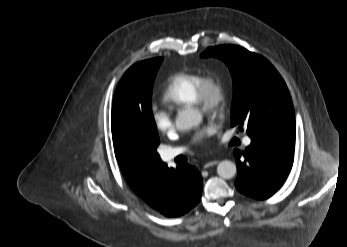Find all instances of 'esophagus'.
Returning <instances> with one entry per match:
<instances>
[{"label":"esophagus","instance_id":"34e87169","mask_svg":"<svg viewBox=\"0 0 347 247\" xmlns=\"http://www.w3.org/2000/svg\"><path fill=\"white\" fill-rule=\"evenodd\" d=\"M218 162H219L218 160H209L204 164V169H207L211 166H214V165L218 164Z\"/></svg>","mask_w":347,"mask_h":247}]
</instances>
